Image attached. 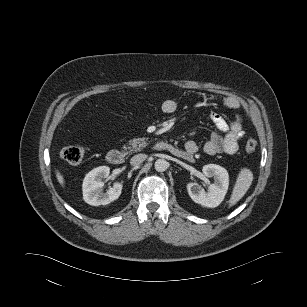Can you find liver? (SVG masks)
<instances>
[{"instance_id": "1", "label": "liver", "mask_w": 307, "mask_h": 307, "mask_svg": "<svg viewBox=\"0 0 307 307\" xmlns=\"http://www.w3.org/2000/svg\"><path fill=\"white\" fill-rule=\"evenodd\" d=\"M55 174H56V178H57L58 182L60 183V185H61L62 187H64V185H65V180H64L63 175H61V173H60L58 170H55Z\"/></svg>"}]
</instances>
